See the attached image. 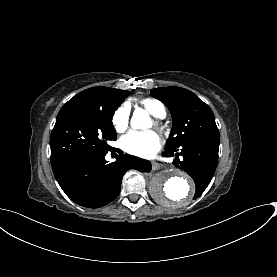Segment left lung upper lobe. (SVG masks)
<instances>
[{"label":"left lung upper lobe","instance_id":"left-lung-upper-lobe-1","mask_svg":"<svg viewBox=\"0 0 277 277\" xmlns=\"http://www.w3.org/2000/svg\"><path fill=\"white\" fill-rule=\"evenodd\" d=\"M151 95L162 101L173 117L166 151L179 148L195 138L219 136L212 110L193 92L173 86L152 89Z\"/></svg>","mask_w":277,"mask_h":277}]
</instances>
